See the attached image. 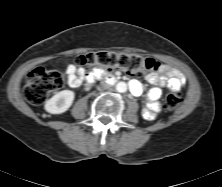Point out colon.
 Segmentation results:
<instances>
[{"instance_id":"colon-1","label":"colon","mask_w":222,"mask_h":187,"mask_svg":"<svg viewBox=\"0 0 222 187\" xmlns=\"http://www.w3.org/2000/svg\"><path fill=\"white\" fill-rule=\"evenodd\" d=\"M75 64L87 76L96 72L106 73L113 69H121L129 74H137L156 71L159 67L158 62L149 57L109 51L80 55L76 58ZM63 84L64 77L62 73L37 67L28 75L24 96L31 104H42L51 92L60 89ZM164 104L167 110H175L180 104V96L177 93H169L165 97Z\"/></svg>"}]
</instances>
